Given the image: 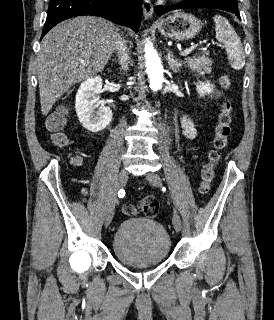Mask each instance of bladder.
<instances>
[{
  "label": "bladder",
  "mask_w": 274,
  "mask_h": 320,
  "mask_svg": "<svg viewBox=\"0 0 274 320\" xmlns=\"http://www.w3.org/2000/svg\"><path fill=\"white\" fill-rule=\"evenodd\" d=\"M171 239L159 222L144 217L122 221L112 239V251L122 264L140 267L164 262Z\"/></svg>",
  "instance_id": "31cf9c89"
}]
</instances>
